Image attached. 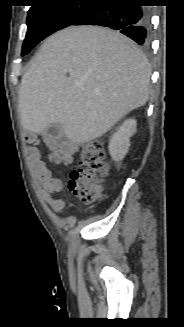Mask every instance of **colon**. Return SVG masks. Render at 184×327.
Returning <instances> with one entry per match:
<instances>
[{"label": "colon", "instance_id": "obj_1", "mask_svg": "<svg viewBox=\"0 0 184 327\" xmlns=\"http://www.w3.org/2000/svg\"><path fill=\"white\" fill-rule=\"evenodd\" d=\"M108 174L105 154L99 141L86 144L77 169L70 174L69 189L83 203H93L103 195L102 181Z\"/></svg>", "mask_w": 184, "mask_h": 327}]
</instances>
